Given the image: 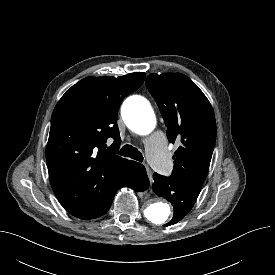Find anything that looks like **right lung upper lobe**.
I'll return each instance as SVG.
<instances>
[{
	"instance_id": "right-lung-upper-lobe-1",
	"label": "right lung upper lobe",
	"mask_w": 275,
	"mask_h": 275,
	"mask_svg": "<svg viewBox=\"0 0 275 275\" xmlns=\"http://www.w3.org/2000/svg\"><path fill=\"white\" fill-rule=\"evenodd\" d=\"M145 73L87 77L59 100L51 117L46 161L52 188L64 209L80 219L96 213L117 189L134 161L120 146L117 113ZM114 142L107 147L108 138Z\"/></svg>"
}]
</instances>
